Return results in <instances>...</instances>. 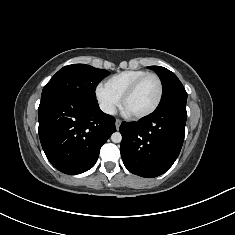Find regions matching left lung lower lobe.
I'll return each instance as SVG.
<instances>
[{
  "instance_id": "obj_1",
  "label": "left lung lower lobe",
  "mask_w": 235,
  "mask_h": 235,
  "mask_svg": "<svg viewBox=\"0 0 235 235\" xmlns=\"http://www.w3.org/2000/svg\"><path fill=\"white\" fill-rule=\"evenodd\" d=\"M186 118V105L172 104L137 122H122L121 156L125 167L147 178L165 173L182 148Z\"/></svg>"
}]
</instances>
